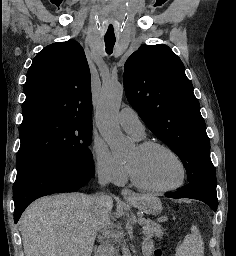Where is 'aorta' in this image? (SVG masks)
Wrapping results in <instances>:
<instances>
[{
    "instance_id": "aorta-1",
    "label": "aorta",
    "mask_w": 236,
    "mask_h": 256,
    "mask_svg": "<svg viewBox=\"0 0 236 256\" xmlns=\"http://www.w3.org/2000/svg\"><path fill=\"white\" fill-rule=\"evenodd\" d=\"M124 88L119 82H108L102 86L97 104V126L102 137L116 152H122L126 142L122 136L118 113L123 96ZM123 256H130L126 243L122 246Z\"/></svg>"
}]
</instances>
